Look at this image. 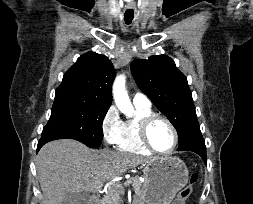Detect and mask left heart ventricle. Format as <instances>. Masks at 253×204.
Returning <instances> with one entry per match:
<instances>
[{
  "instance_id": "1",
  "label": "left heart ventricle",
  "mask_w": 253,
  "mask_h": 204,
  "mask_svg": "<svg viewBox=\"0 0 253 204\" xmlns=\"http://www.w3.org/2000/svg\"><path fill=\"white\" fill-rule=\"evenodd\" d=\"M149 139L152 145L160 151H167L173 145L172 131L162 120H157L150 126Z\"/></svg>"
}]
</instances>
